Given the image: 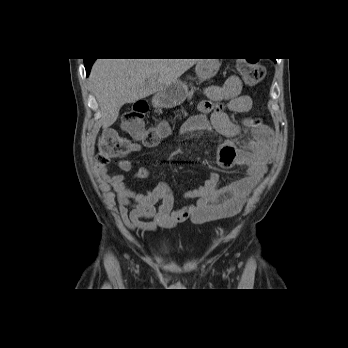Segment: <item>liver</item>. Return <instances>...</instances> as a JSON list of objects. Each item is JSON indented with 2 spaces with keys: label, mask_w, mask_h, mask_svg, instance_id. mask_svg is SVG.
<instances>
[{
  "label": "liver",
  "mask_w": 348,
  "mask_h": 348,
  "mask_svg": "<svg viewBox=\"0 0 348 348\" xmlns=\"http://www.w3.org/2000/svg\"><path fill=\"white\" fill-rule=\"evenodd\" d=\"M200 59H97L90 72L91 89L99 103L104 128L120 108L158 93Z\"/></svg>",
  "instance_id": "6515ba94"
}]
</instances>
